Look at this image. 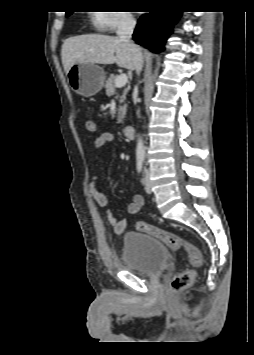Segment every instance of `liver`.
Returning <instances> with one entry per match:
<instances>
[{
  "mask_svg": "<svg viewBox=\"0 0 254 355\" xmlns=\"http://www.w3.org/2000/svg\"><path fill=\"white\" fill-rule=\"evenodd\" d=\"M61 58L66 73L76 63H116L122 68L135 69L132 49L118 37L109 35L87 34L68 38L62 45Z\"/></svg>",
  "mask_w": 254,
  "mask_h": 355,
  "instance_id": "1",
  "label": "liver"
}]
</instances>
